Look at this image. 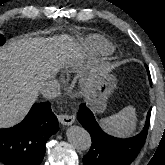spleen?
Returning a JSON list of instances; mask_svg holds the SVG:
<instances>
[{
    "label": "spleen",
    "instance_id": "1",
    "mask_svg": "<svg viewBox=\"0 0 165 165\" xmlns=\"http://www.w3.org/2000/svg\"><path fill=\"white\" fill-rule=\"evenodd\" d=\"M136 112L133 106H127L118 113L101 119L102 128L110 134L126 137L133 134L136 126Z\"/></svg>",
    "mask_w": 165,
    "mask_h": 165
}]
</instances>
